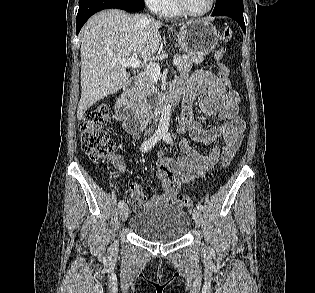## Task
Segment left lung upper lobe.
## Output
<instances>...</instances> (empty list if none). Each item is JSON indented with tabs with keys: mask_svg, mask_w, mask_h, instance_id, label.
<instances>
[{
	"mask_svg": "<svg viewBox=\"0 0 315 293\" xmlns=\"http://www.w3.org/2000/svg\"><path fill=\"white\" fill-rule=\"evenodd\" d=\"M224 10L243 11V0H216L213 13H218Z\"/></svg>",
	"mask_w": 315,
	"mask_h": 293,
	"instance_id": "1",
	"label": "left lung upper lobe"
}]
</instances>
